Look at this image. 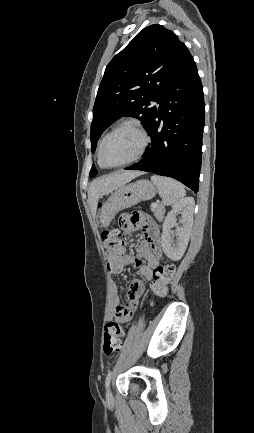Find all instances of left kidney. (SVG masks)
<instances>
[{
    "label": "left kidney",
    "mask_w": 254,
    "mask_h": 433,
    "mask_svg": "<svg viewBox=\"0 0 254 433\" xmlns=\"http://www.w3.org/2000/svg\"><path fill=\"white\" fill-rule=\"evenodd\" d=\"M194 199L186 197L176 202L172 210L167 214L163 223V232L161 236V246L165 255L173 261H178L184 255L187 248L190 231L193 225ZM181 213V226L176 230L177 242L171 238V229L177 225L176 215Z\"/></svg>",
    "instance_id": "left-kidney-1"
}]
</instances>
